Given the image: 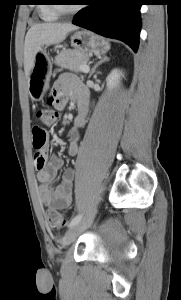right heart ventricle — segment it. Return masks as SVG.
<instances>
[{
    "label": "right heart ventricle",
    "instance_id": "e07e8e85",
    "mask_svg": "<svg viewBox=\"0 0 181 300\" xmlns=\"http://www.w3.org/2000/svg\"><path fill=\"white\" fill-rule=\"evenodd\" d=\"M41 4L37 8V12L41 20L45 22L57 21L59 16L52 8L51 1L41 0Z\"/></svg>",
    "mask_w": 181,
    "mask_h": 300
}]
</instances>
